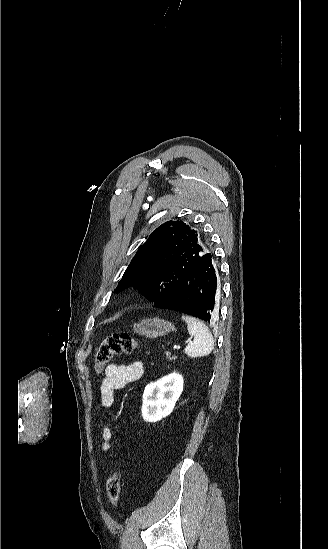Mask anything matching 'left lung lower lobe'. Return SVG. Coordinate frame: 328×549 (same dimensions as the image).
<instances>
[{
    "instance_id": "obj_1",
    "label": "left lung lower lobe",
    "mask_w": 328,
    "mask_h": 549,
    "mask_svg": "<svg viewBox=\"0 0 328 549\" xmlns=\"http://www.w3.org/2000/svg\"><path fill=\"white\" fill-rule=\"evenodd\" d=\"M217 277L211 254H203L177 282L172 294L157 300L154 306L174 310L213 323L218 293Z\"/></svg>"
}]
</instances>
